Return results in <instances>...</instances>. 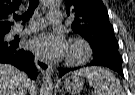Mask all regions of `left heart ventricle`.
Wrapping results in <instances>:
<instances>
[{"instance_id": "1", "label": "left heart ventricle", "mask_w": 135, "mask_h": 95, "mask_svg": "<svg viewBox=\"0 0 135 95\" xmlns=\"http://www.w3.org/2000/svg\"><path fill=\"white\" fill-rule=\"evenodd\" d=\"M71 53H72V55L76 56V55H79L80 50L78 48H75V49L72 50Z\"/></svg>"}]
</instances>
